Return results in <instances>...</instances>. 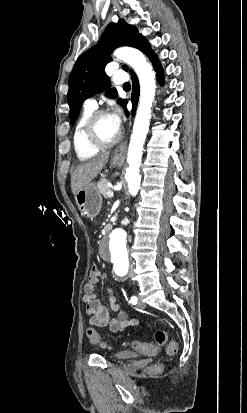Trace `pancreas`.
I'll list each match as a JSON object with an SVG mask.
<instances>
[{
  "mask_svg": "<svg viewBox=\"0 0 247 413\" xmlns=\"http://www.w3.org/2000/svg\"><path fill=\"white\" fill-rule=\"evenodd\" d=\"M107 182H109V180H107V178H100V180L97 184L101 194H103V196H105V198H107V192L109 190Z\"/></svg>",
  "mask_w": 247,
  "mask_h": 413,
  "instance_id": "pancreas-1",
  "label": "pancreas"
}]
</instances>
